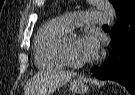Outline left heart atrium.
<instances>
[{
	"label": "left heart atrium",
	"instance_id": "left-heart-atrium-1",
	"mask_svg": "<svg viewBox=\"0 0 135 95\" xmlns=\"http://www.w3.org/2000/svg\"><path fill=\"white\" fill-rule=\"evenodd\" d=\"M99 48V43L97 37L88 32L79 39L78 43V53L83 61H90L93 59Z\"/></svg>",
	"mask_w": 135,
	"mask_h": 95
}]
</instances>
